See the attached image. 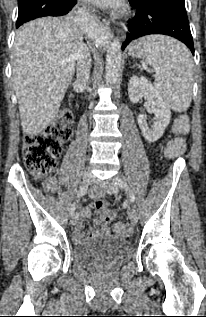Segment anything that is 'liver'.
<instances>
[{
  "instance_id": "6515ba94",
  "label": "liver",
  "mask_w": 206,
  "mask_h": 317,
  "mask_svg": "<svg viewBox=\"0 0 206 317\" xmlns=\"http://www.w3.org/2000/svg\"><path fill=\"white\" fill-rule=\"evenodd\" d=\"M83 41L70 18L46 17L23 25L12 49V80L24 133L34 136L59 111Z\"/></svg>"
}]
</instances>
